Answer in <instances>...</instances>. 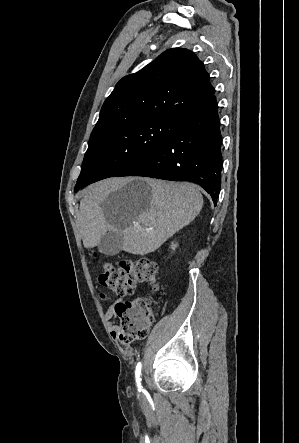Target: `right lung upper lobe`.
<instances>
[{
  "mask_svg": "<svg viewBox=\"0 0 299 443\" xmlns=\"http://www.w3.org/2000/svg\"><path fill=\"white\" fill-rule=\"evenodd\" d=\"M213 93L209 75L196 55L187 49H169L117 83L91 136L144 118L177 119Z\"/></svg>",
  "mask_w": 299,
  "mask_h": 443,
  "instance_id": "right-lung-upper-lobe-1",
  "label": "right lung upper lobe"
}]
</instances>
